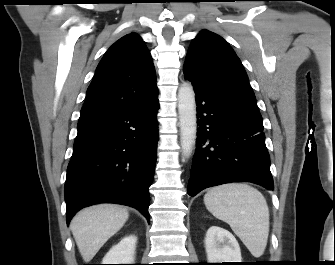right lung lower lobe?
<instances>
[{
  "instance_id": "1",
  "label": "right lung lower lobe",
  "mask_w": 335,
  "mask_h": 265,
  "mask_svg": "<svg viewBox=\"0 0 335 265\" xmlns=\"http://www.w3.org/2000/svg\"><path fill=\"white\" fill-rule=\"evenodd\" d=\"M158 98L123 112L80 120L65 182L66 220L96 203L138 209L149 222L158 141Z\"/></svg>"
}]
</instances>
